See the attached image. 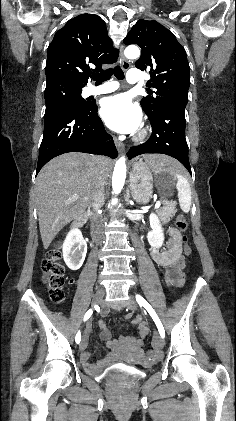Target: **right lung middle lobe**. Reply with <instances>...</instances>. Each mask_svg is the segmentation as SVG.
Returning a JSON list of instances; mask_svg holds the SVG:
<instances>
[{"instance_id": "right-lung-middle-lobe-1", "label": "right lung middle lobe", "mask_w": 236, "mask_h": 421, "mask_svg": "<svg viewBox=\"0 0 236 421\" xmlns=\"http://www.w3.org/2000/svg\"><path fill=\"white\" fill-rule=\"evenodd\" d=\"M81 92L82 88L56 85L46 86L45 113L61 107L73 110L84 109L88 105V102L81 97Z\"/></svg>"}]
</instances>
